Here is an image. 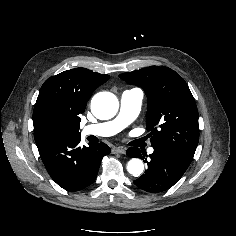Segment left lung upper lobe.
<instances>
[{
  "instance_id": "left-lung-upper-lobe-1",
  "label": "left lung upper lobe",
  "mask_w": 236,
  "mask_h": 236,
  "mask_svg": "<svg viewBox=\"0 0 236 236\" xmlns=\"http://www.w3.org/2000/svg\"><path fill=\"white\" fill-rule=\"evenodd\" d=\"M119 77L143 88L147 96L146 127L152 146L190 154L199 142L198 110L184 79L167 67L152 66Z\"/></svg>"
}]
</instances>
